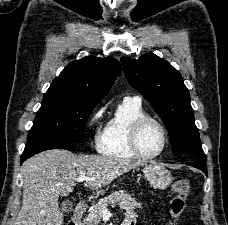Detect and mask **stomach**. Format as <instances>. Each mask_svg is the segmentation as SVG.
Listing matches in <instances>:
<instances>
[{"label":"stomach","mask_w":228,"mask_h":225,"mask_svg":"<svg viewBox=\"0 0 228 225\" xmlns=\"http://www.w3.org/2000/svg\"><path fill=\"white\" fill-rule=\"evenodd\" d=\"M143 175L154 189H167L173 181L170 171L155 161H151L150 165H145Z\"/></svg>","instance_id":"stomach-1"}]
</instances>
